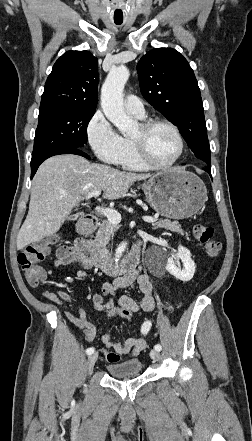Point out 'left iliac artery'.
<instances>
[{
    "label": "left iliac artery",
    "instance_id": "44dca946",
    "mask_svg": "<svg viewBox=\"0 0 252 441\" xmlns=\"http://www.w3.org/2000/svg\"><path fill=\"white\" fill-rule=\"evenodd\" d=\"M150 325H151V323L149 321L142 322L141 327H140V330L142 331V333L147 332L150 329ZM154 348L157 351H161V349H162L160 344H156L154 346Z\"/></svg>",
    "mask_w": 252,
    "mask_h": 441
}]
</instances>
